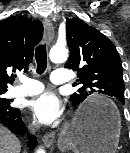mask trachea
Returning a JSON list of instances; mask_svg holds the SVG:
<instances>
[{
  "label": "trachea",
  "instance_id": "1",
  "mask_svg": "<svg viewBox=\"0 0 130 153\" xmlns=\"http://www.w3.org/2000/svg\"><path fill=\"white\" fill-rule=\"evenodd\" d=\"M35 59L37 62V73H44L47 67V51L46 46L44 44H41L36 48Z\"/></svg>",
  "mask_w": 130,
  "mask_h": 153
}]
</instances>
